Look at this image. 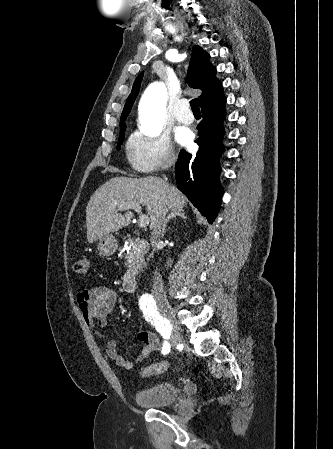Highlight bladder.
Wrapping results in <instances>:
<instances>
[{
  "label": "bladder",
  "instance_id": "1",
  "mask_svg": "<svg viewBox=\"0 0 333 449\" xmlns=\"http://www.w3.org/2000/svg\"><path fill=\"white\" fill-rule=\"evenodd\" d=\"M181 391L172 382H160L136 391L135 402L146 408L168 407L180 398Z\"/></svg>",
  "mask_w": 333,
  "mask_h": 449
}]
</instances>
